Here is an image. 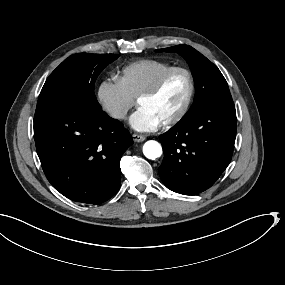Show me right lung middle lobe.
<instances>
[{
	"instance_id": "right-lung-middle-lobe-1",
	"label": "right lung middle lobe",
	"mask_w": 285,
	"mask_h": 285,
	"mask_svg": "<svg viewBox=\"0 0 285 285\" xmlns=\"http://www.w3.org/2000/svg\"><path fill=\"white\" fill-rule=\"evenodd\" d=\"M119 55L75 54L65 59L47 78L38 98L35 116L56 108L102 111L94 95L100 72Z\"/></svg>"
}]
</instances>
